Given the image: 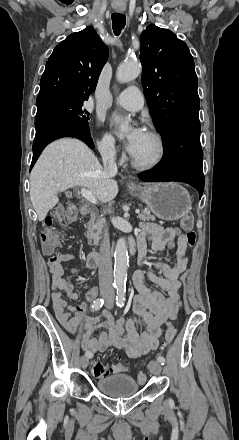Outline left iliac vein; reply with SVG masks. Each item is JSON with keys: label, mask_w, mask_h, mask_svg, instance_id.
I'll use <instances>...</instances> for the list:
<instances>
[{"label": "left iliac vein", "mask_w": 239, "mask_h": 440, "mask_svg": "<svg viewBox=\"0 0 239 440\" xmlns=\"http://www.w3.org/2000/svg\"><path fill=\"white\" fill-rule=\"evenodd\" d=\"M107 306H108V307H111V306H112V301H111V300L107 301ZM148 369H149V371H150L152 374H154V375H160L161 370H162V367H161V365H160L159 362H157V361H151V362L148 364Z\"/></svg>", "instance_id": "obj_1"}]
</instances>
